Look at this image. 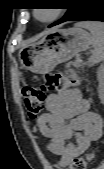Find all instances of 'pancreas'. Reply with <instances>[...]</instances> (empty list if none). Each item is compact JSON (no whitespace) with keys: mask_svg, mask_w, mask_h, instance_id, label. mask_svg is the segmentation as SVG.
Wrapping results in <instances>:
<instances>
[{"mask_svg":"<svg viewBox=\"0 0 104 169\" xmlns=\"http://www.w3.org/2000/svg\"><path fill=\"white\" fill-rule=\"evenodd\" d=\"M73 65H74V67H76V68L80 67V63H79V62H77V61H76V62H74V63H73Z\"/></svg>","mask_w":104,"mask_h":169,"instance_id":"pancreas-1","label":"pancreas"}]
</instances>
